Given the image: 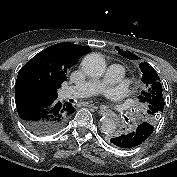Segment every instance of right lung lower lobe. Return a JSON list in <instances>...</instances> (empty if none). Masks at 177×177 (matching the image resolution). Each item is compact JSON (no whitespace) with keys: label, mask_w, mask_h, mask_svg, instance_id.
Here are the masks:
<instances>
[{"label":"right lung lower lobe","mask_w":177,"mask_h":177,"mask_svg":"<svg viewBox=\"0 0 177 177\" xmlns=\"http://www.w3.org/2000/svg\"><path fill=\"white\" fill-rule=\"evenodd\" d=\"M15 101L25 126L37 135L57 132L75 112L70 103L62 104L57 97L36 92H15Z\"/></svg>","instance_id":"obj_1"}]
</instances>
